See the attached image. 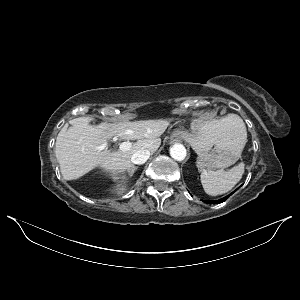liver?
Wrapping results in <instances>:
<instances>
[{
  "label": "liver",
  "mask_w": 300,
  "mask_h": 300,
  "mask_svg": "<svg viewBox=\"0 0 300 300\" xmlns=\"http://www.w3.org/2000/svg\"><path fill=\"white\" fill-rule=\"evenodd\" d=\"M168 125L167 120L91 125L87 117L73 119L71 127H63L56 139L55 154L61 174L66 180H74L99 167L113 175L123 174L126 179L125 172L133 167L132 155L141 149L154 153ZM111 138L136 142L127 151L104 150ZM126 190L124 185L118 184L113 192L122 194Z\"/></svg>",
  "instance_id": "6515ba94"
}]
</instances>
